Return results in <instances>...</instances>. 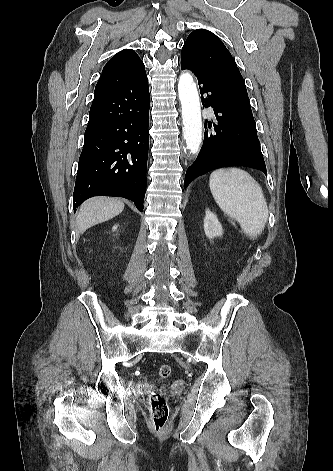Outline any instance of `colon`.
<instances>
[{"mask_svg":"<svg viewBox=\"0 0 333 471\" xmlns=\"http://www.w3.org/2000/svg\"><path fill=\"white\" fill-rule=\"evenodd\" d=\"M171 372V367L168 364H162L158 370V374L162 379L168 378ZM150 414L154 429L157 432H163L169 416V407L164 394H150Z\"/></svg>","mask_w":333,"mask_h":471,"instance_id":"obj_1","label":"colon"}]
</instances>
